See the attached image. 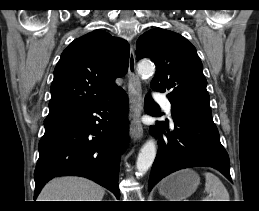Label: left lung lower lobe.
Returning <instances> with one entry per match:
<instances>
[{
    "label": "left lung lower lobe",
    "instance_id": "left-lung-lower-lobe-1",
    "mask_svg": "<svg viewBox=\"0 0 259 211\" xmlns=\"http://www.w3.org/2000/svg\"><path fill=\"white\" fill-rule=\"evenodd\" d=\"M145 101V111L160 116V108L153 99L147 95ZM171 113L175 124L173 131L168 121H157L156 126L150 127V132L158 138V152L148 190L170 173L196 166L213 167L232 182L229 156L220 143L211 113L175 104H172Z\"/></svg>",
    "mask_w": 259,
    "mask_h": 211
}]
</instances>
